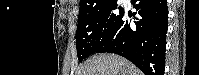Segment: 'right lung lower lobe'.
Wrapping results in <instances>:
<instances>
[{
  "instance_id": "98d812e1",
  "label": "right lung lower lobe",
  "mask_w": 199,
  "mask_h": 75,
  "mask_svg": "<svg viewBox=\"0 0 199 75\" xmlns=\"http://www.w3.org/2000/svg\"><path fill=\"white\" fill-rule=\"evenodd\" d=\"M135 27L123 13L118 25L95 53H116L145 75H164L168 8L166 0H132Z\"/></svg>"
}]
</instances>
